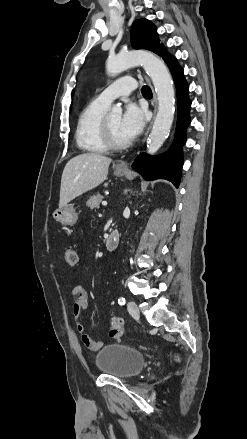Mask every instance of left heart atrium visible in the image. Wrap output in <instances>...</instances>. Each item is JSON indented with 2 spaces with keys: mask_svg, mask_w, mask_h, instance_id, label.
I'll use <instances>...</instances> for the list:
<instances>
[{
  "mask_svg": "<svg viewBox=\"0 0 247 439\" xmlns=\"http://www.w3.org/2000/svg\"><path fill=\"white\" fill-rule=\"evenodd\" d=\"M145 111L135 103H129L120 119V131L127 141L136 138L145 126Z\"/></svg>",
  "mask_w": 247,
  "mask_h": 439,
  "instance_id": "39dd6f15",
  "label": "left heart atrium"
}]
</instances>
